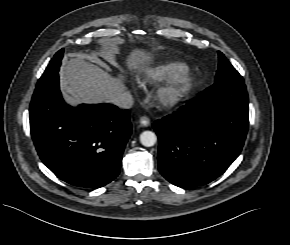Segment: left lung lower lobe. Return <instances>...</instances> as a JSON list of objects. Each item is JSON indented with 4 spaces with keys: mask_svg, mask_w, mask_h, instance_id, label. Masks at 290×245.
I'll return each instance as SVG.
<instances>
[{
    "mask_svg": "<svg viewBox=\"0 0 290 245\" xmlns=\"http://www.w3.org/2000/svg\"><path fill=\"white\" fill-rule=\"evenodd\" d=\"M244 82L215 84L153 124L160 173L179 187L207 184L238 157L248 130Z\"/></svg>",
    "mask_w": 290,
    "mask_h": 245,
    "instance_id": "1",
    "label": "left lung lower lobe"
}]
</instances>
